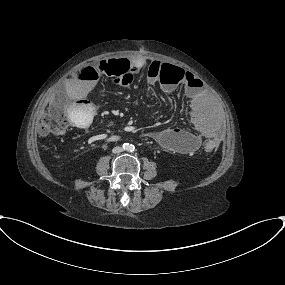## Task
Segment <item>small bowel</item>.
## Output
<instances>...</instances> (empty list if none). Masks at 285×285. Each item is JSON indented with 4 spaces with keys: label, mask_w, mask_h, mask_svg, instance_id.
Wrapping results in <instances>:
<instances>
[{
    "label": "small bowel",
    "mask_w": 285,
    "mask_h": 285,
    "mask_svg": "<svg viewBox=\"0 0 285 285\" xmlns=\"http://www.w3.org/2000/svg\"><path fill=\"white\" fill-rule=\"evenodd\" d=\"M143 60L138 59L132 63L135 68H140ZM162 67L159 60H152L149 64L150 82H155L157 74ZM67 83L63 86L65 102L69 108L72 122L79 125L78 119L72 115L77 112L79 117L88 119L90 116L91 104L87 100L95 86V80H77L69 75ZM181 85L188 100V110L192 131L180 128H167L153 132L152 138L163 148L176 150L186 154L200 148L204 139L209 135H219V125L206 115L205 101L202 97V89L197 84L196 76L193 73L185 72ZM177 89L175 84L163 85V91L173 92Z\"/></svg>",
    "instance_id": "c3829d8e"
}]
</instances>
